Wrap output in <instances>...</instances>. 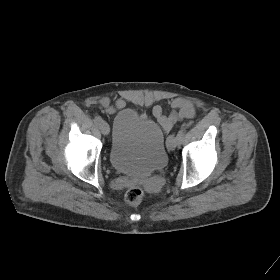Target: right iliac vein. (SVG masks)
I'll list each match as a JSON object with an SVG mask.
<instances>
[{"label": "right iliac vein", "mask_w": 280, "mask_h": 280, "mask_svg": "<svg viewBox=\"0 0 280 280\" xmlns=\"http://www.w3.org/2000/svg\"><path fill=\"white\" fill-rule=\"evenodd\" d=\"M100 131L104 135H108L110 132L109 125L106 122H102V124L99 126Z\"/></svg>", "instance_id": "1"}]
</instances>
